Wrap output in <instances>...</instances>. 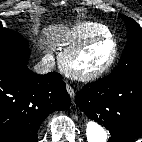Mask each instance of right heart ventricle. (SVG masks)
I'll return each mask as SVG.
<instances>
[{
	"label": "right heart ventricle",
	"mask_w": 142,
	"mask_h": 142,
	"mask_svg": "<svg viewBox=\"0 0 142 142\" xmlns=\"http://www.w3.org/2000/svg\"><path fill=\"white\" fill-rule=\"evenodd\" d=\"M109 28L96 22H79L63 32L62 46L65 50L78 45L82 41L99 35H109Z\"/></svg>",
	"instance_id": "obj_1"
}]
</instances>
